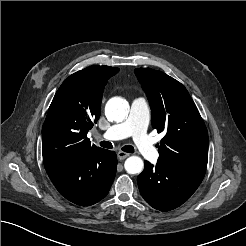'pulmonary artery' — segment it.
I'll use <instances>...</instances> for the list:
<instances>
[{
  "instance_id": "pulmonary-artery-1",
  "label": "pulmonary artery",
  "mask_w": 246,
  "mask_h": 246,
  "mask_svg": "<svg viewBox=\"0 0 246 246\" xmlns=\"http://www.w3.org/2000/svg\"><path fill=\"white\" fill-rule=\"evenodd\" d=\"M150 122V108L145 98H135L127 118L111 126L102 137L107 140H120L132 137L140 153L150 161H156L158 152L147 134Z\"/></svg>"
}]
</instances>
